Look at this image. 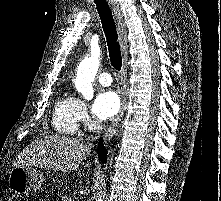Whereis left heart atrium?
I'll use <instances>...</instances> for the list:
<instances>
[{
    "label": "left heart atrium",
    "instance_id": "1",
    "mask_svg": "<svg viewBox=\"0 0 221 201\" xmlns=\"http://www.w3.org/2000/svg\"><path fill=\"white\" fill-rule=\"evenodd\" d=\"M120 107L118 95L111 90L100 91L93 104L92 115L97 121H106L112 118Z\"/></svg>",
    "mask_w": 221,
    "mask_h": 201
}]
</instances>
